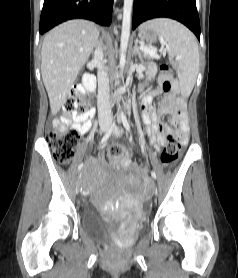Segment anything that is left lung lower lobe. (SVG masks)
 I'll use <instances>...</instances> for the list:
<instances>
[{"label":"left lung lower lobe","instance_id":"left-lung-lower-lobe-1","mask_svg":"<svg viewBox=\"0 0 238 278\" xmlns=\"http://www.w3.org/2000/svg\"><path fill=\"white\" fill-rule=\"evenodd\" d=\"M159 17L172 18L183 23L200 40L196 0H134L133 30L142 22Z\"/></svg>","mask_w":238,"mask_h":278}]
</instances>
